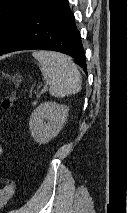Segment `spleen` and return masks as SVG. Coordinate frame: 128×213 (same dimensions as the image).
<instances>
[{
	"label": "spleen",
	"instance_id": "3e777b00",
	"mask_svg": "<svg viewBox=\"0 0 128 213\" xmlns=\"http://www.w3.org/2000/svg\"><path fill=\"white\" fill-rule=\"evenodd\" d=\"M32 55L39 62L52 96L64 97L81 90V76L70 57L52 51H33Z\"/></svg>",
	"mask_w": 128,
	"mask_h": 213
}]
</instances>
